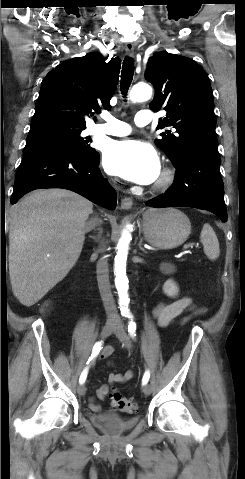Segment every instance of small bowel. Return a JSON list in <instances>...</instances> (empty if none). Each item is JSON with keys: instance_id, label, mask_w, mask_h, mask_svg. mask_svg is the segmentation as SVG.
I'll return each instance as SVG.
<instances>
[{"instance_id": "small-bowel-1", "label": "small bowel", "mask_w": 245, "mask_h": 479, "mask_svg": "<svg viewBox=\"0 0 245 479\" xmlns=\"http://www.w3.org/2000/svg\"><path fill=\"white\" fill-rule=\"evenodd\" d=\"M201 311L200 308L195 306L191 298L182 297L171 303H159L154 308L153 313L159 325L165 327L187 312L199 313ZM112 353V347H105L101 353V358H108ZM133 377L134 372L132 370H128L125 373H111L108 378V384L102 385L97 390V397L103 400L108 393L109 385L121 384ZM89 406L95 412L101 410V405L96 403L94 399L90 400Z\"/></svg>"}]
</instances>
